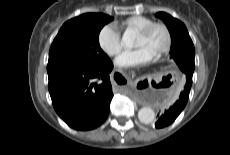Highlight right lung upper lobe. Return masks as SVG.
I'll return each instance as SVG.
<instances>
[{
  "instance_id": "right-lung-upper-lobe-1",
  "label": "right lung upper lobe",
  "mask_w": 230,
  "mask_h": 155,
  "mask_svg": "<svg viewBox=\"0 0 230 155\" xmlns=\"http://www.w3.org/2000/svg\"><path fill=\"white\" fill-rule=\"evenodd\" d=\"M93 15H95V13L83 14V15L78 16V17H76V18H73V19H71V20H69V21H67V22L79 21V20L85 19V18L90 17V16H93Z\"/></svg>"
}]
</instances>
